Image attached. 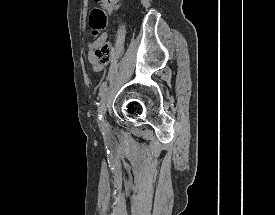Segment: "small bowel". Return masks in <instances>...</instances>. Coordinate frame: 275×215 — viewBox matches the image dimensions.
<instances>
[{
    "label": "small bowel",
    "mask_w": 275,
    "mask_h": 215,
    "mask_svg": "<svg viewBox=\"0 0 275 215\" xmlns=\"http://www.w3.org/2000/svg\"><path fill=\"white\" fill-rule=\"evenodd\" d=\"M97 6H99V4L97 3ZM106 36L105 35H101L100 37H98L96 40L94 41H88L87 42V48H88V60L90 63L93 64V67L96 71H100L104 68V65L97 63L96 57H95V50L98 47V45L100 43H102L103 41H105Z\"/></svg>",
    "instance_id": "1"
}]
</instances>
